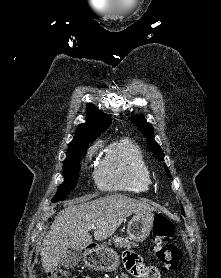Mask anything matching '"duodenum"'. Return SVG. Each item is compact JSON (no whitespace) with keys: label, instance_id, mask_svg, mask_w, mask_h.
I'll use <instances>...</instances> for the list:
<instances>
[{"label":"duodenum","instance_id":"410a0bca","mask_svg":"<svg viewBox=\"0 0 221 278\" xmlns=\"http://www.w3.org/2000/svg\"><path fill=\"white\" fill-rule=\"evenodd\" d=\"M94 249H95V248H94L93 246H89V247H88V250H89V251H93Z\"/></svg>","mask_w":221,"mask_h":278}]
</instances>
